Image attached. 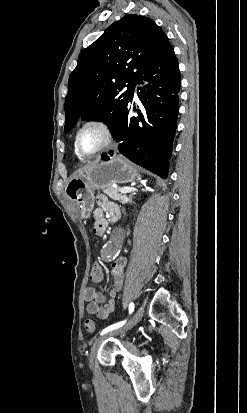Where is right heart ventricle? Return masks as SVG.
<instances>
[{
    "mask_svg": "<svg viewBox=\"0 0 247 413\" xmlns=\"http://www.w3.org/2000/svg\"><path fill=\"white\" fill-rule=\"evenodd\" d=\"M75 153H76V156L78 157L79 160H81V161L84 160V158H82V157L77 153L76 149H75Z\"/></svg>",
    "mask_w": 247,
    "mask_h": 413,
    "instance_id": "right-heart-ventricle-1",
    "label": "right heart ventricle"
}]
</instances>
